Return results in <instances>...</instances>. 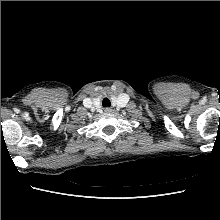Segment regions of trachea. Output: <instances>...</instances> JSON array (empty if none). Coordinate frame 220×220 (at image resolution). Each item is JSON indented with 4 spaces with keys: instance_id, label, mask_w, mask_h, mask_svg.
<instances>
[{
    "instance_id": "obj_1",
    "label": "trachea",
    "mask_w": 220,
    "mask_h": 220,
    "mask_svg": "<svg viewBox=\"0 0 220 220\" xmlns=\"http://www.w3.org/2000/svg\"><path fill=\"white\" fill-rule=\"evenodd\" d=\"M102 105H103L104 107L110 106V101H109V99L105 98V99L103 100V102H102Z\"/></svg>"
}]
</instances>
